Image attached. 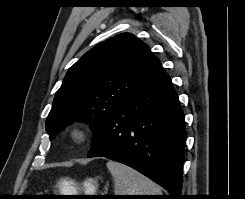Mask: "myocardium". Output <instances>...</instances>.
<instances>
[{
	"instance_id": "myocardium-1",
	"label": "myocardium",
	"mask_w": 245,
	"mask_h": 199,
	"mask_svg": "<svg viewBox=\"0 0 245 199\" xmlns=\"http://www.w3.org/2000/svg\"><path fill=\"white\" fill-rule=\"evenodd\" d=\"M68 137L76 145L85 144L90 137L88 129L80 124H74L68 129Z\"/></svg>"
}]
</instances>
